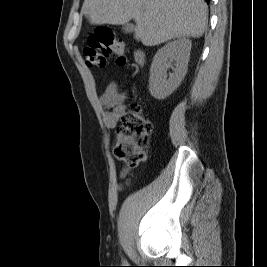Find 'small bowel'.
<instances>
[{
    "instance_id": "small-bowel-1",
    "label": "small bowel",
    "mask_w": 267,
    "mask_h": 267,
    "mask_svg": "<svg viewBox=\"0 0 267 267\" xmlns=\"http://www.w3.org/2000/svg\"><path fill=\"white\" fill-rule=\"evenodd\" d=\"M126 97L120 91L116 83H110L103 91L99 98L100 105L103 109V120L105 126L109 129L116 127L119 120L126 113ZM130 172L128 167L120 173L121 178H125Z\"/></svg>"
}]
</instances>
